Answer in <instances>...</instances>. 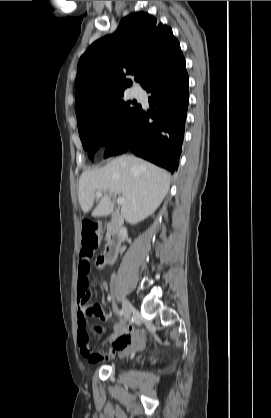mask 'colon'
Returning a JSON list of instances; mask_svg holds the SVG:
<instances>
[{
	"mask_svg": "<svg viewBox=\"0 0 271 418\" xmlns=\"http://www.w3.org/2000/svg\"><path fill=\"white\" fill-rule=\"evenodd\" d=\"M98 232L99 227L96 223L88 221L83 224L82 227V248H81V256L83 258H90L98 243ZM87 328L80 329L79 339L84 345H90V338L86 336Z\"/></svg>",
	"mask_w": 271,
	"mask_h": 418,
	"instance_id": "5ec220e1",
	"label": "colon"
}]
</instances>
